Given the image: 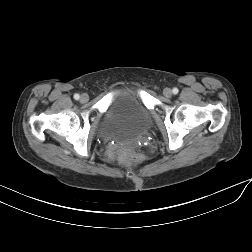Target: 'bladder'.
Returning a JSON list of instances; mask_svg holds the SVG:
<instances>
[{
  "mask_svg": "<svg viewBox=\"0 0 252 252\" xmlns=\"http://www.w3.org/2000/svg\"><path fill=\"white\" fill-rule=\"evenodd\" d=\"M151 124L150 110L134 86H122L96 127V134L105 139L131 141Z\"/></svg>",
  "mask_w": 252,
  "mask_h": 252,
  "instance_id": "bladder-1",
  "label": "bladder"
}]
</instances>
